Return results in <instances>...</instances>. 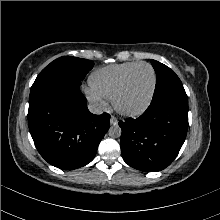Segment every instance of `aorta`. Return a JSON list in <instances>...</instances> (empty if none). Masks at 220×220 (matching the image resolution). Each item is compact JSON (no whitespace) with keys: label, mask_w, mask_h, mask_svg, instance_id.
I'll return each mask as SVG.
<instances>
[{"label":"aorta","mask_w":220,"mask_h":220,"mask_svg":"<svg viewBox=\"0 0 220 220\" xmlns=\"http://www.w3.org/2000/svg\"><path fill=\"white\" fill-rule=\"evenodd\" d=\"M122 130L119 125H113L109 129V135L114 138H118L121 136Z\"/></svg>","instance_id":"obj_1"}]
</instances>
